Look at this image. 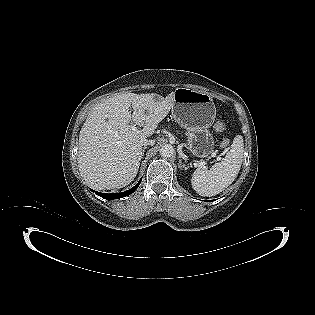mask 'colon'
<instances>
[{
	"label": "colon",
	"instance_id": "colon-1",
	"mask_svg": "<svg viewBox=\"0 0 315 315\" xmlns=\"http://www.w3.org/2000/svg\"><path fill=\"white\" fill-rule=\"evenodd\" d=\"M214 128L216 131H224L226 129V122L223 119H218L214 123ZM219 144L221 147L226 148L229 146L230 141L228 138L223 137L220 139Z\"/></svg>",
	"mask_w": 315,
	"mask_h": 315
}]
</instances>
